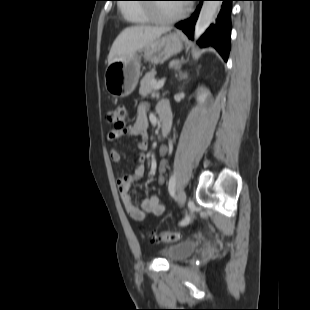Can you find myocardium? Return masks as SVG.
Returning a JSON list of instances; mask_svg holds the SVG:
<instances>
[{"mask_svg": "<svg viewBox=\"0 0 310 310\" xmlns=\"http://www.w3.org/2000/svg\"><path fill=\"white\" fill-rule=\"evenodd\" d=\"M147 12L151 20L156 23H171L183 18L188 13V9L183 8L174 14L161 15L156 7H147Z\"/></svg>", "mask_w": 310, "mask_h": 310, "instance_id": "obj_1", "label": "myocardium"}]
</instances>
